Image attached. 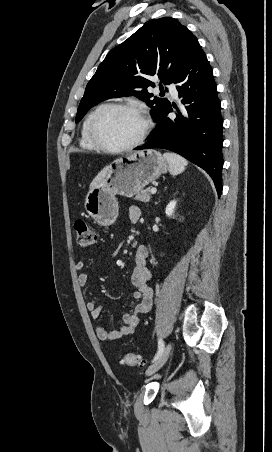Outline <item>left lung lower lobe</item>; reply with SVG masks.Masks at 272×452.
Returning a JSON list of instances; mask_svg holds the SVG:
<instances>
[{
    "label": "left lung lower lobe",
    "instance_id": "left-lung-lower-lobe-1",
    "mask_svg": "<svg viewBox=\"0 0 272 452\" xmlns=\"http://www.w3.org/2000/svg\"><path fill=\"white\" fill-rule=\"evenodd\" d=\"M173 83H177L182 108L169 103L156 120L157 126L148 141L137 150L164 148L179 153L203 168L213 179L220 197L222 192V130L221 102L213 71L197 42ZM169 112L177 117L170 119Z\"/></svg>",
    "mask_w": 272,
    "mask_h": 452
}]
</instances>
